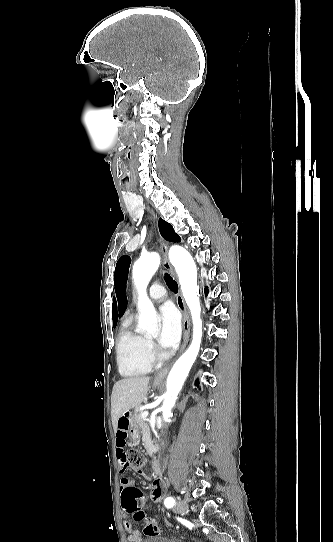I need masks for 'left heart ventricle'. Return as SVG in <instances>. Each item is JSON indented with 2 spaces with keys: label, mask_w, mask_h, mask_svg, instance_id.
I'll use <instances>...</instances> for the list:
<instances>
[{
  "label": "left heart ventricle",
  "mask_w": 333,
  "mask_h": 542,
  "mask_svg": "<svg viewBox=\"0 0 333 542\" xmlns=\"http://www.w3.org/2000/svg\"><path fill=\"white\" fill-rule=\"evenodd\" d=\"M149 338H150L153 342L156 343V345H157V347H158V349H159V351H160L161 353L167 354V353L160 347V345H159V343H158V338H159L158 334L151 335V336H149Z\"/></svg>",
  "instance_id": "left-heart-ventricle-1"
}]
</instances>
